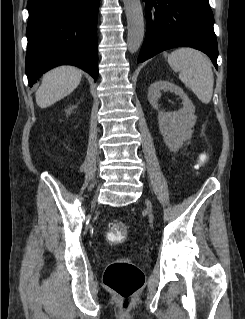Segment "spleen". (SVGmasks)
I'll return each instance as SVG.
<instances>
[{"mask_svg":"<svg viewBox=\"0 0 245 319\" xmlns=\"http://www.w3.org/2000/svg\"><path fill=\"white\" fill-rule=\"evenodd\" d=\"M170 67L200 101L208 104L213 94L214 77L210 61L200 51L182 47L168 56Z\"/></svg>","mask_w":245,"mask_h":319,"instance_id":"spleen-1","label":"spleen"}]
</instances>
